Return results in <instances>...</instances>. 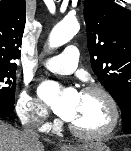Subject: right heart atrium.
I'll use <instances>...</instances> for the list:
<instances>
[{
	"label": "right heart atrium",
	"instance_id": "1",
	"mask_svg": "<svg viewBox=\"0 0 131 151\" xmlns=\"http://www.w3.org/2000/svg\"><path fill=\"white\" fill-rule=\"evenodd\" d=\"M16 109L24 123L36 126L39 129H46L50 126L46 107L34 98L26 88L22 90L18 97Z\"/></svg>",
	"mask_w": 131,
	"mask_h": 151
}]
</instances>
